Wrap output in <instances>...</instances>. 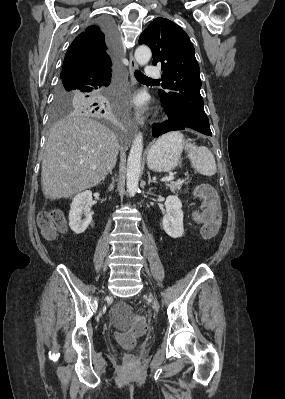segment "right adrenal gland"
Here are the masks:
<instances>
[{
	"label": "right adrenal gland",
	"mask_w": 285,
	"mask_h": 399,
	"mask_svg": "<svg viewBox=\"0 0 285 399\" xmlns=\"http://www.w3.org/2000/svg\"><path fill=\"white\" fill-rule=\"evenodd\" d=\"M114 167H112L111 169H109V171H108V173L110 174V175H112V169H113Z\"/></svg>",
	"instance_id": "right-adrenal-gland-1"
}]
</instances>
